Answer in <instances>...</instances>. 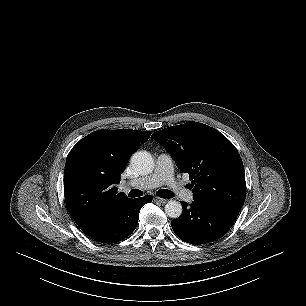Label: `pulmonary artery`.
I'll use <instances>...</instances> for the list:
<instances>
[{"mask_svg": "<svg viewBox=\"0 0 306 306\" xmlns=\"http://www.w3.org/2000/svg\"><path fill=\"white\" fill-rule=\"evenodd\" d=\"M162 184L167 185L179 199L187 203L193 201V193L185 189L181 183L175 180L173 175V162L171 157L166 153L158 156L153 173L137 180L125 182L123 186L153 189Z\"/></svg>", "mask_w": 306, "mask_h": 306, "instance_id": "1", "label": "pulmonary artery"}]
</instances>
